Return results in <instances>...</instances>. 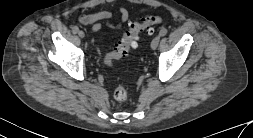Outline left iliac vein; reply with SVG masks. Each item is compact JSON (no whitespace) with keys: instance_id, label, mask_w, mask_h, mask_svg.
Returning <instances> with one entry per match:
<instances>
[{"instance_id":"obj_1","label":"left iliac vein","mask_w":253,"mask_h":138,"mask_svg":"<svg viewBox=\"0 0 253 138\" xmlns=\"http://www.w3.org/2000/svg\"><path fill=\"white\" fill-rule=\"evenodd\" d=\"M159 40H160V36H156L153 38V40L151 41V49L155 50L159 44Z\"/></svg>"}]
</instances>
